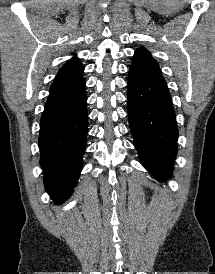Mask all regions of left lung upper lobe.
I'll list each match as a JSON object with an SVG mask.
<instances>
[{
    "label": "left lung upper lobe",
    "mask_w": 215,
    "mask_h": 274,
    "mask_svg": "<svg viewBox=\"0 0 215 274\" xmlns=\"http://www.w3.org/2000/svg\"><path fill=\"white\" fill-rule=\"evenodd\" d=\"M131 66L153 73H162L158 63L153 59L151 53L144 47H140L135 51Z\"/></svg>",
    "instance_id": "5c2ea615"
}]
</instances>
